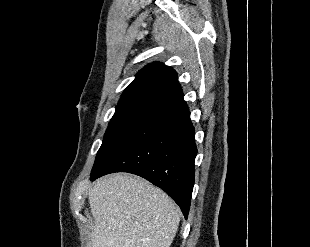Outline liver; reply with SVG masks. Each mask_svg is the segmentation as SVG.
Instances as JSON below:
<instances>
[{
	"label": "liver",
	"mask_w": 310,
	"mask_h": 247,
	"mask_svg": "<svg viewBox=\"0 0 310 247\" xmlns=\"http://www.w3.org/2000/svg\"><path fill=\"white\" fill-rule=\"evenodd\" d=\"M91 247H170L180 222L173 200L148 181L114 174L89 192Z\"/></svg>",
	"instance_id": "liver-1"
}]
</instances>
